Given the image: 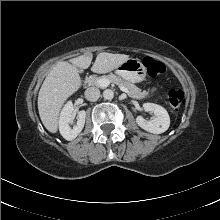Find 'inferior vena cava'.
I'll return each instance as SVG.
<instances>
[{
    "mask_svg": "<svg viewBox=\"0 0 220 220\" xmlns=\"http://www.w3.org/2000/svg\"><path fill=\"white\" fill-rule=\"evenodd\" d=\"M100 97V90L96 87H90L85 90V98L89 101H97Z\"/></svg>",
    "mask_w": 220,
    "mask_h": 220,
    "instance_id": "602c4592",
    "label": "inferior vena cava"
}]
</instances>
